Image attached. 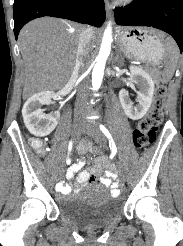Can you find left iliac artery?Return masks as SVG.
<instances>
[{
    "instance_id": "44dca946",
    "label": "left iliac artery",
    "mask_w": 183,
    "mask_h": 246,
    "mask_svg": "<svg viewBox=\"0 0 183 246\" xmlns=\"http://www.w3.org/2000/svg\"><path fill=\"white\" fill-rule=\"evenodd\" d=\"M100 130L103 132V134L109 139V146H110V149L112 151V154L115 155L117 153V148H116V145H115V142L110 134V132L108 131V129L100 124Z\"/></svg>"
}]
</instances>
